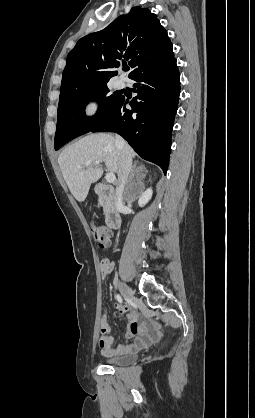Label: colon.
<instances>
[{
  "label": "colon",
  "instance_id": "5ec220e1",
  "mask_svg": "<svg viewBox=\"0 0 255 418\" xmlns=\"http://www.w3.org/2000/svg\"><path fill=\"white\" fill-rule=\"evenodd\" d=\"M91 233L94 241L102 249H107L110 246L111 233L105 228L91 224Z\"/></svg>",
  "mask_w": 255,
  "mask_h": 418
}]
</instances>
